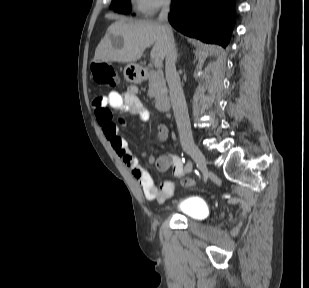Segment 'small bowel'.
<instances>
[{"instance_id":"c3829d8e","label":"small bowel","mask_w":309,"mask_h":288,"mask_svg":"<svg viewBox=\"0 0 309 288\" xmlns=\"http://www.w3.org/2000/svg\"><path fill=\"white\" fill-rule=\"evenodd\" d=\"M95 115L101 127L103 136L111 145L112 149L129 167L135 178L140 182L145 197L151 201L165 202L173 196L175 185L173 181L166 180L157 185L148 171L141 165L138 157L130 150L127 140L118 133V127L113 121L111 110H119L137 117L141 121H147L149 111L143 106L137 96V88L130 87L124 93L111 91L98 97L93 102ZM168 129L165 125L158 126V139L163 142L167 139ZM152 161L160 171L172 169L175 177L184 174V168L180 164V158L172 153H164L153 157Z\"/></svg>"}]
</instances>
